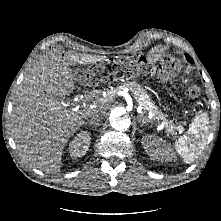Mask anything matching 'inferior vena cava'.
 <instances>
[{"instance_id": "602c4592", "label": "inferior vena cava", "mask_w": 221, "mask_h": 221, "mask_svg": "<svg viewBox=\"0 0 221 221\" xmlns=\"http://www.w3.org/2000/svg\"><path fill=\"white\" fill-rule=\"evenodd\" d=\"M103 119V114L98 110L94 109L88 119V124H96L98 125Z\"/></svg>"}]
</instances>
